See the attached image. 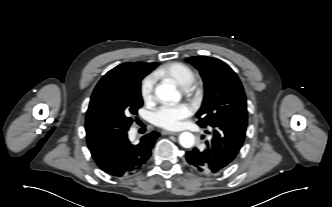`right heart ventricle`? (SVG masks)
I'll list each match as a JSON object with an SVG mask.
<instances>
[{
    "label": "right heart ventricle",
    "mask_w": 332,
    "mask_h": 207,
    "mask_svg": "<svg viewBox=\"0 0 332 207\" xmlns=\"http://www.w3.org/2000/svg\"><path fill=\"white\" fill-rule=\"evenodd\" d=\"M158 77L172 80L182 88H186L194 79L193 69L182 62H171L157 70Z\"/></svg>",
    "instance_id": "1"
}]
</instances>
